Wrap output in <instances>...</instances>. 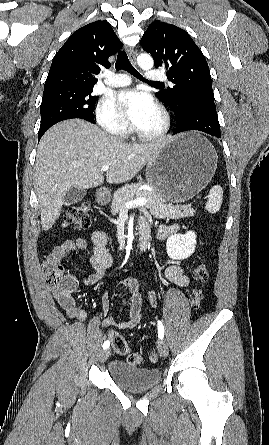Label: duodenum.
<instances>
[{
  "label": "duodenum",
  "mask_w": 269,
  "mask_h": 445,
  "mask_svg": "<svg viewBox=\"0 0 269 445\" xmlns=\"http://www.w3.org/2000/svg\"><path fill=\"white\" fill-rule=\"evenodd\" d=\"M104 196H105V192L100 191L99 197L102 198ZM150 239H151V234L149 232H140L139 240H138L137 244L134 246L133 251H132L133 254L138 255V254L145 252L149 246Z\"/></svg>",
  "instance_id": "410a0bca"
}]
</instances>
